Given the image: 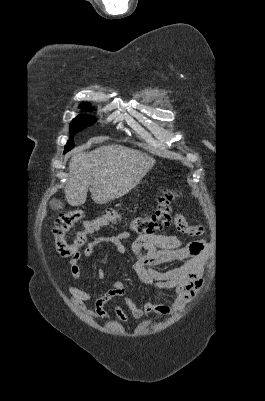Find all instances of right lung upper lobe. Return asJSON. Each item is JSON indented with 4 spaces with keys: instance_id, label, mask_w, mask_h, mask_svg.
Segmentation results:
<instances>
[{
    "instance_id": "right-lung-upper-lobe-1",
    "label": "right lung upper lobe",
    "mask_w": 265,
    "mask_h": 401,
    "mask_svg": "<svg viewBox=\"0 0 265 401\" xmlns=\"http://www.w3.org/2000/svg\"><path fill=\"white\" fill-rule=\"evenodd\" d=\"M81 106H89L88 103H82Z\"/></svg>"
}]
</instances>
